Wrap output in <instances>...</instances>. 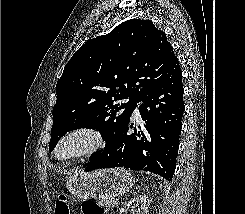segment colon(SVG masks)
I'll return each instance as SVG.
<instances>
[{"label":"colon","instance_id":"5ec220e1","mask_svg":"<svg viewBox=\"0 0 245 214\" xmlns=\"http://www.w3.org/2000/svg\"><path fill=\"white\" fill-rule=\"evenodd\" d=\"M83 214H104V208L93 200H85L82 203ZM55 214H70L68 197L65 194L59 195L56 200Z\"/></svg>","mask_w":245,"mask_h":214}]
</instances>
